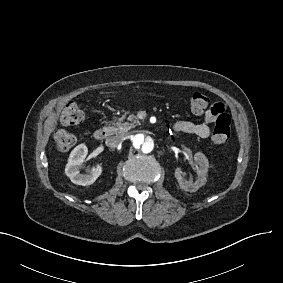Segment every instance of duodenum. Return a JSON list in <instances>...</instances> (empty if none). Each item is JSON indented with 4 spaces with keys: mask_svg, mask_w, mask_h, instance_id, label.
I'll return each instance as SVG.
<instances>
[{
    "mask_svg": "<svg viewBox=\"0 0 283 283\" xmlns=\"http://www.w3.org/2000/svg\"><path fill=\"white\" fill-rule=\"evenodd\" d=\"M109 136V130L106 127H101L95 130L94 138L98 141H103Z\"/></svg>",
    "mask_w": 283,
    "mask_h": 283,
    "instance_id": "obj_1",
    "label": "duodenum"
}]
</instances>
